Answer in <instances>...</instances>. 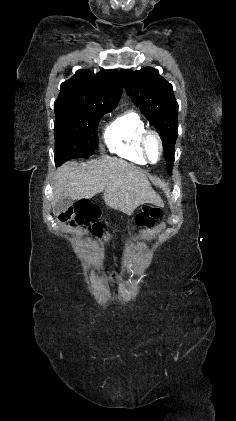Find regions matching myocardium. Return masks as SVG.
Masks as SVG:
<instances>
[{"label":"myocardium","mask_w":236,"mask_h":421,"mask_svg":"<svg viewBox=\"0 0 236 421\" xmlns=\"http://www.w3.org/2000/svg\"><path fill=\"white\" fill-rule=\"evenodd\" d=\"M150 138H155L160 147V158L157 162H152L148 155V141ZM139 144H140L141 152L147 163L154 165L162 160L163 154H164V142H163L162 137L157 131L150 130V129L144 130L140 136Z\"/></svg>","instance_id":"1"}]
</instances>
